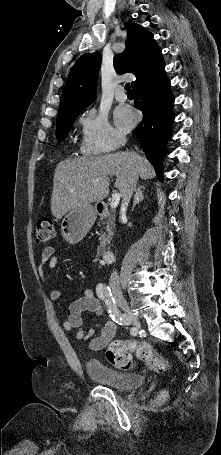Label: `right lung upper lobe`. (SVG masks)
I'll use <instances>...</instances> for the list:
<instances>
[{"instance_id":"cb5924a9","label":"right lung upper lobe","mask_w":221,"mask_h":455,"mask_svg":"<svg viewBox=\"0 0 221 455\" xmlns=\"http://www.w3.org/2000/svg\"><path fill=\"white\" fill-rule=\"evenodd\" d=\"M127 30L126 49L114 57L113 64L117 73H133L137 80L161 50L153 35L141 25L129 23ZM100 64L99 52L86 53L77 60L63 89L58 116L81 112L95 99Z\"/></svg>"}]
</instances>
